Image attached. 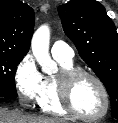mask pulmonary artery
Segmentation results:
<instances>
[{
	"mask_svg": "<svg viewBox=\"0 0 118 123\" xmlns=\"http://www.w3.org/2000/svg\"><path fill=\"white\" fill-rule=\"evenodd\" d=\"M51 54L55 59L72 61L74 50L65 42L56 41L51 46Z\"/></svg>",
	"mask_w": 118,
	"mask_h": 123,
	"instance_id": "e3ab8cb5",
	"label": "pulmonary artery"
}]
</instances>
